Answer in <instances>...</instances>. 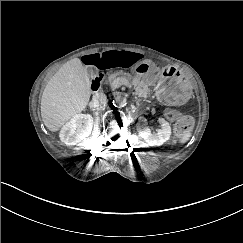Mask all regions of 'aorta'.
<instances>
[{
	"label": "aorta",
	"mask_w": 243,
	"mask_h": 243,
	"mask_svg": "<svg viewBox=\"0 0 243 243\" xmlns=\"http://www.w3.org/2000/svg\"><path fill=\"white\" fill-rule=\"evenodd\" d=\"M113 103L116 107L118 108H123L127 104V99L124 95L122 94H117L113 98Z\"/></svg>",
	"instance_id": "aorta-1"
}]
</instances>
